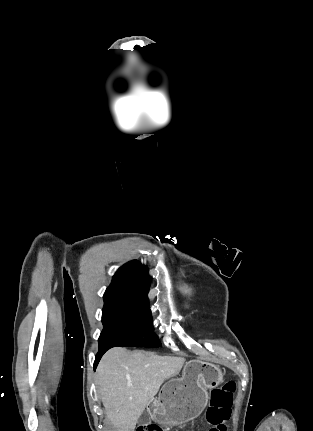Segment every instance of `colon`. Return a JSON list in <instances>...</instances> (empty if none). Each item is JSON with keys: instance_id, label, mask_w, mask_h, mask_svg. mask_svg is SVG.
<instances>
[{"instance_id": "colon-1", "label": "colon", "mask_w": 313, "mask_h": 431, "mask_svg": "<svg viewBox=\"0 0 313 431\" xmlns=\"http://www.w3.org/2000/svg\"><path fill=\"white\" fill-rule=\"evenodd\" d=\"M236 384L233 381L225 383L210 393V404L206 412V419L211 425L208 431H227L226 422L231 416V405ZM137 431H163L155 424L140 426Z\"/></svg>"}]
</instances>
